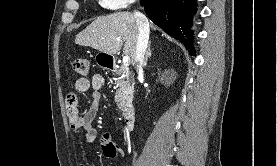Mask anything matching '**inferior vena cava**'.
Here are the masks:
<instances>
[{"label":"inferior vena cava","mask_w":277,"mask_h":166,"mask_svg":"<svg viewBox=\"0 0 277 166\" xmlns=\"http://www.w3.org/2000/svg\"><path fill=\"white\" fill-rule=\"evenodd\" d=\"M134 16L138 24V39L136 45V63L137 70L142 71L144 55L149 41V23L145 15L135 12Z\"/></svg>","instance_id":"602c4592"}]
</instances>
